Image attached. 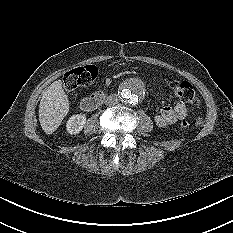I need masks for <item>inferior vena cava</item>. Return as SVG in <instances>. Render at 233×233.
<instances>
[{
  "mask_svg": "<svg viewBox=\"0 0 233 233\" xmlns=\"http://www.w3.org/2000/svg\"><path fill=\"white\" fill-rule=\"evenodd\" d=\"M119 96L116 95V94H112L110 96H108L105 100V104L106 105H109V106H112V105H116L119 103Z\"/></svg>",
  "mask_w": 233,
  "mask_h": 233,
  "instance_id": "inferior-vena-cava-1",
  "label": "inferior vena cava"
}]
</instances>
